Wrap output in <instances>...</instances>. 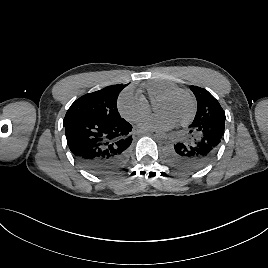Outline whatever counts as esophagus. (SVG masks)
<instances>
[{"instance_id": "esophagus-1", "label": "esophagus", "mask_w": 268, "mask_h": 268, "mask_svg": "<svg viewBox=\"0 0 268 268\" xmlns=\"http://www.w3.org/2000/svg\"><path fill=\"white\" fill-rule=\"evenodd\" d=\"M136 133H137L138 135H143V134H147L148 131L143 130V129H137V130H136Z\"/></svg>"}]
</instances>
